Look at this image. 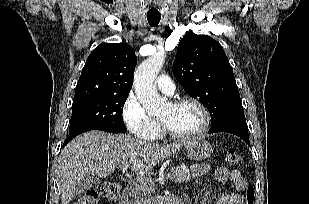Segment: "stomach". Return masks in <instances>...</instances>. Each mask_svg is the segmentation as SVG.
<instances>
[{
	"instance_id": "stomach-1",
	"label": "stomach",
	"mask_w": 309,
	"mask_h": 204,
	"mask_svg": "<svg viewBox=\"0 0 309 204\" xmlns=\"http://www.w3.org/2000/svg\"><path fill=\"white\" fill-rule=\"evenodd\" d=\"M185 149L188 157L196 161L207 159L213 151L211 144L202 138L190 139L186 143Z\"/></svg>"
}]
</instances>
